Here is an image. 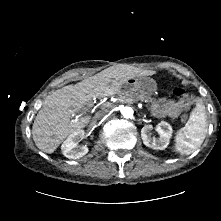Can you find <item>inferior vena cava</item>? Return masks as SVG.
Instances as JSON below:
<instances>
[{
	"mask_svg": "<svg viewBox=\"0 0 221 221\" xmlns=\"http://www.w3.org/2000/svg\"><path fill=\"white\" fill-rule=\"evenodd\" d=\"M109 111H110V110H109L108 108L99 110V111L95 114V119H96V120H99V119L103 118L107 113H109Z\"/></svg>",
	"mask_w": 221,
	"mask_h": 221,
	"instance_id": "obj_1",
	"label": "inferior vena cava"
}]
</instances>
